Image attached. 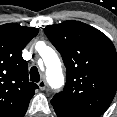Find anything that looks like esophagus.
Listing matches in <instances>:
<instances>
[{
  "mask_svg": "<svg viewBox=\"0 0 117 117\" xmlns=\"http://www.w3.org/2000/svg\"><path fill=\"white\" fill-rule=\"evenodd\" d=\"M39 89L40 90H45L46 88V81L44 79H42L39 83H38Z\"/></svg>",
  "mask_w": 117,
  "mask_h": 117,
  "instance_id": "esophagus-1",
  "label": "esophagus"
}]
</instances>
